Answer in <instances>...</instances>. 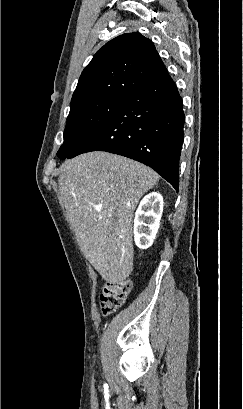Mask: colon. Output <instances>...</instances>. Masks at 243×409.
Masks as SVG:
<instances>
[{
    "mask_svg": "<svg viewBox=\"0 0 243 409\" xmlns=\"http://www.w3.org/2000/svg\"><path fill=\"white\" fill-rule=\"evenodd\" d=\"M131 291L129 280H111L103 284L100 291V312L107 316L118 309Z\"/></svg>",
    "mask_w": 243,
    "mask_h": 409,
    "instance_id": "obj_1",
    "label": "colon"
}]
</instances>
